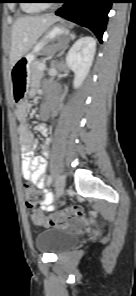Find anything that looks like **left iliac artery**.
Listing matches in <instances>:
<instances>
[{
	"instance_id": "1",
	"label": "left iliac artery",
	"mask_w": 136,
	"mask_h": 296,
	"mask_svg": "<svg viewBox=\"0 0 136 296\" xmlns=\"http://www.w3.org/2000/svg\"><path fill=\"white\" fill-rule=\"evenodd\" d=\"M48 185H52V177L51 176H48ZM49 193H51V192H49Z\"/></svg>"
}]
</instances>
